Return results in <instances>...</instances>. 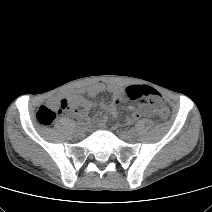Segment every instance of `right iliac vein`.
Here are the masks:
<instances>
[{
    "label": "right iliac vein",
    "instance_id": "right-iliac-vein-1",
    "mask_svg": "<svg viewBox=\"0 0 212 212\" xmlns=\"http://www.w3.org/2000/svg\"><path fill=\"white\" fill-rule=\"evenodd\" d=\"M75 135L79 138L83 137L84 135V129H77Z\"/></svg>",
    "mask_w": 212,
    "mask_h": 212
}]
</instances>
